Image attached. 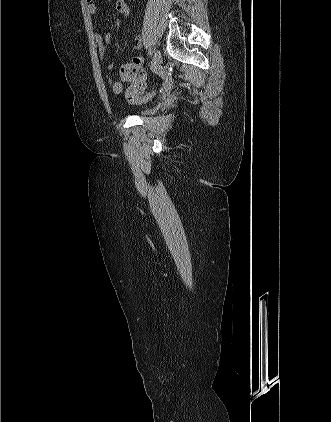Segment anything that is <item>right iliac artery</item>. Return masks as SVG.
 <instances>
[{
	"label": "right iliac artery",
	"mask_w": 331,
	"mask_h": 422,
	"mask_svg": "<svg viewBox=\"0 0 331 422\" xmlns=\"http://www.w3.org/2000/svg\"><path fill=\"white\" fill-rule=\"evenodd\" d=\"M148 58H149V61H152V58H153V50L152 49L148 50Z\"/></svg>",
	"instance_id": "right-iliac-artery-1"
}]
</instances>
